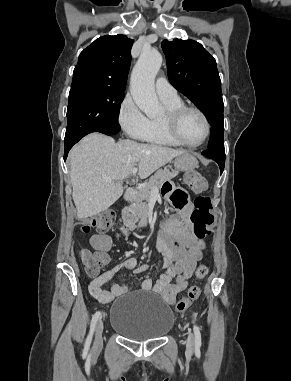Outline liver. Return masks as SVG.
Instances as JSON below:
<instances>
[{"label": "liver", "mask_w": 291, "mask_h": 381, "mask_svg": "<svg viewBox=\"0 0 291 381\" xmlns=\"http://www.w3.org/2000/svg\"><path fill=\"white\" fill-rule=\"evenodd\" d=\"M186 153L154 144L120 140L91 133L69 153L73 201L79 219L95 216L112 206L123 194L120 181L138 164L141 179ZM110 178V183L105 178Z\"/></svg>", "instance_id": "liver-1"}]
</instances>
